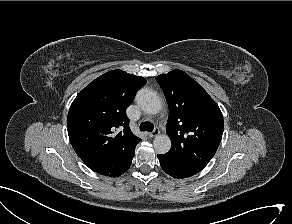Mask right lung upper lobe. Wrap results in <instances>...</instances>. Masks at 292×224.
Wrapping results in <instances>:
<instances>
[{"label":"right lung upper lobe","instance_id":"right-lung-upper-lobe-1","mask_svg":"<svg viewBox=\"0 0 292 224\" xmlns=\"http://www.w3.org/2000/svg\"><path fill=\"white\" fill-rule=\"evenodd\" d=\"M146 79L121 70L93 80L75 98L67 117L70 143L79 157L130 155L141 141L129 128L125 110Z\"/></svg>","mask_w":292,"mask_h":224}]
</instances>
